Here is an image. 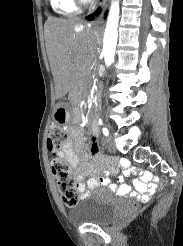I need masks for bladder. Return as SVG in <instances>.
I'll use <instances>...</instances> for the list:
<instances>
[{
	"label": "bladder",
	"mask_w": 183,
	"mask_h": 246,
	"mask_svg": "<svg viewBox=\"0 0 183 246\" xmlns=\"http://www.w3.org/2000/svg\"><path fill=\"white\" fill-rule=\"evenodd\" d=\"M118 208L116 198L106 188H97L84 198L69 214L70 219L79 224H109Z\"/></svg>",
	"instance_id": "31cf9c89"
}]
</instances>
